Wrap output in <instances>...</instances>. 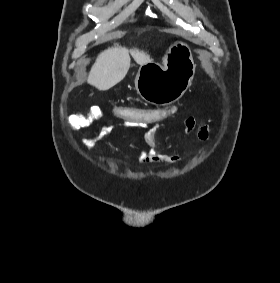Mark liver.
Returning <instances> with one entry per match:
<instances>
[{
	"label": "liver",
	"instance_id": "6515ba94",
	"mask_svg": "<svg viewBox=\"0 0 280 283\" xmlns=\"http://www.w3.org/2000/svg\"><path fill=\"white\" fill-rule=\"evenodd\" d=\"M139 65L151 62L150 56L137 48L114 44L101 52L93 64L87 82L99 90H108L122 81L130 68V55Z\"/></svg>",
	"mask_w": 280,
	"mask_h": 283
}]
</instances>
